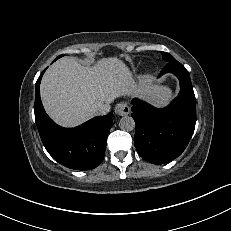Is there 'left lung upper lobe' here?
<instances>
[{
	"label": "left lung upper lobe",
	"instance_id": "5c2ea615",
	"mask_svg": "<svg viewBox=\"0 0 231 231\" xmlns=\"http://www.w3.org/2000/svg\"><path fill=\"white\" fill-rule=\"evenodd\" d=\"M161 54H162V56H163V59H164L165 61H167L168 63L171 62V61H175V60H176L172 55H170V54L167 53V52H161Z\"/></svg>",
	"mask_w": 231,
	"mask_h": 231
}]
</instances>
